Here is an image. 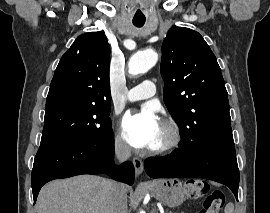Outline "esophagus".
Masks as SVG:
<instances>
[{
	"mask_svg": "<svg viewBox=\"0 0 270 213\" xmlns=\"http://www.w3.org/2000/svg\"><path fill=\"white\" fill-rule=\"evenodd\" d=\"M133 165H134V169H135V174L137 176L141 175L144 169L143 166V161L139 158V157H134L132 159Z\"/></svg>",
	"mask_w": 270,
	"mask_h": 213,
	"instance_id": "esophagus-1",
	"label": "esophagus"
}]
</instances>
